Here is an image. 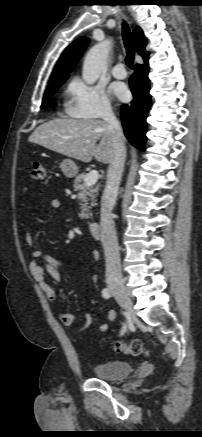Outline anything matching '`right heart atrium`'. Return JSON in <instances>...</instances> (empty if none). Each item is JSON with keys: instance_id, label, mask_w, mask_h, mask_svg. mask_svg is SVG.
Segmentation results:
<instances>
[{"instance_id": "obj_1", "label": "right heart atrium", "mask_w": 202, "mask_h": 437, "mask_svg": "<svg viewBox=\"0 0 202 437\" xmlns=\"http://www.w3.org/2000/svg\"><path fill=\"white\" fill-rule=\"evenodd\" d=\"M66 112L75 118L100 119L112 114L108 93L98 85L75 79L69 85Z\"/></svg>"}]
</instances>
